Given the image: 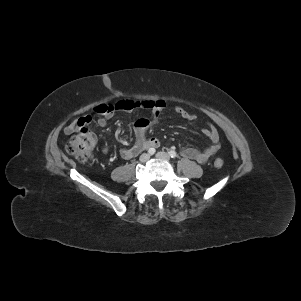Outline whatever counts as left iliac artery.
I'll use <instances>...</instances> for the list:
<instances>
[{"instance_id": "left-iliac-artery-1", "label": "left iliac artery", "mask_w": 301, "mask_h": 301, "mask_svg": "<svg viewBox=\"0 0 301 301\" xmlns=\"http://www.w3.org/2000/svg\"><path fill=\"white\" fill-rule=\"evenodd\" d=\"M169 155L171 158H176L177 157V153L173 150L169 151Z\"/></svg>"}]
</instances>
